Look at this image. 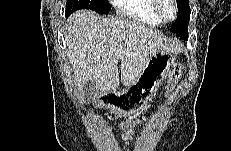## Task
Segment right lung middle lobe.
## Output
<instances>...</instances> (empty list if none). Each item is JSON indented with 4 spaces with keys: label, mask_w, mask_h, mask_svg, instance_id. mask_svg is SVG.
I'll return each mask as SVG.
<instances>
[{
    "label": "right lung middle lobe",
    "mask_w": 231,
    "mask_h": 151,
    "mask_svg": "<svg viewBox=\"0 0 231 151\" xmlns=\"http://www.w3.org/2000/svg\"><path fill=\"white\" fill-rule=\"evenodd\" d=\"M79 9H90L100 14H108L111 7L108 0H67L66 13L71 14Z\"/></svg>",
    "instance_id": "dd1d6c3e"
}]
</instances>
